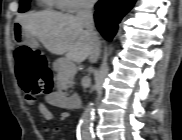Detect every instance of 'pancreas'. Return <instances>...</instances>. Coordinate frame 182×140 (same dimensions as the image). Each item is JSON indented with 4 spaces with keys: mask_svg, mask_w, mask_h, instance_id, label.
Listing matches in <instances>:
<instances>
[{
    "mask_svg": "<svg viewBox=\"0 0 182 140\" xmlns=\"http://www.w3.org/2000/svg\"><path fill=\"white\" fill-rule=\"evenodd\" d=\"M53 68L56 72L57 80L61 82V85L58 86V93L65 95L67 89L71 87L72 80L76 74V67L71 61L62 58L53 63Z\"/></svg>",
    "mask_w": 182,
    "mask_h": 140,
    "instance_id": "obj_1",
    "label": "pancreas"
}]
</instances>
